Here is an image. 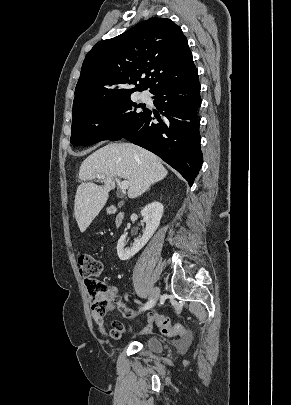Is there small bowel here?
Here are the masks:
<instances>
[{"instance_id":"1","label":"small bowel","mask_w":291,"mask_h":405,"mask_svg":"<svg viewBox=\"0 0 291 405\" xmlns=\"http://www.w3.org/2000/svg\"><path fill=\"white\" fill-rule=\"evenodd\" d=\"M108 299L112 305V308L118 312H120L125 318H133L138 314V309L134 310L127 307L120 295L118 294V289L115 286H111L108 291ZM93 314V319L98 327V330L101 334H103L107 338L111 339H120L125 331L123 324L119 321H113L111 328H107L104 322V318L100 315L95 313ZM154 328V323L149 316H147L146 325L140 331L141 335L150 333Z\"/></svg>"}]
</instances>
